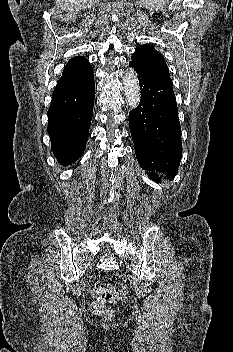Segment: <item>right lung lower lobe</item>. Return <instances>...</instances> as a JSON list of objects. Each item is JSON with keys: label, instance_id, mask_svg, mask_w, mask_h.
I'll return each instance as SVG.
<instances>
[{"label": "right lung lower lobe", "instance_id": "1", "mask_svg": "<svg viewBox=\"0 0 233 352\" xmlns=\"http://www.w3.org/2000/svg\"><path fill=\"white\" fill-rule=\"evenodd\" d=\"M94 73L59 81L48 110V133L53 154L66 166L84 153L94 105Z\"/></svg>", "mask_w": 233, "mask_h": 352}]
</instances>
